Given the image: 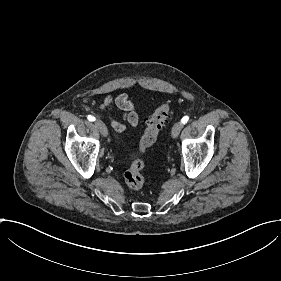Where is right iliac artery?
Returning <instances> with one entry per match:
<instances>
[{
    "mask_svg": "<svg viewBox=\"0 0 281 281\" xmlns=\"http://www.w3.org/2000/svg\"><path fill=\"white\" fill-rule=\"evenodd\" d=\"M87 118H88V120L91 121V122H92V121H95V117H94V116L88 115Z\"/></svg>",
    "mask_w": 281,
    "mask_h": 281,
    "instance_id": "right-iliac-artery-1",
    "label": "right iliac artery"
}]
</instances>
